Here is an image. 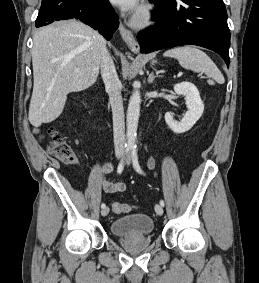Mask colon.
I'll return each mask as SVG.
<instances>
[{
	"label": "colon",
	"instance_id": "1",
	"mask_svg": "<svg viewBox=\"0 0 259 283\" xmlns=\"http://www.w3.org/2000/svg\"><path fill=\"white\" fill-rule=\"evenodd\" d=\"M50 153L66 164L76 163L78 156L71 146L70 142L64 138L57 130L51 131V140L49 146ZM112 210L116 214L130 212L135 207L130 204L114 202L111 204Z\"/></svg>",
	"mask_w": 259,
	"mask_h": 283
}]
</instances>
